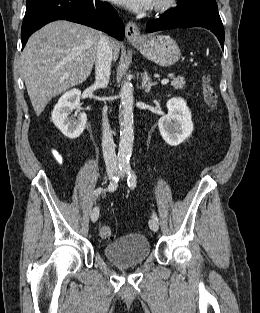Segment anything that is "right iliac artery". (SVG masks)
<instances>
[{"label":"right iliac artery","instance_id":"1","mask_svg":"<svg viewBox=\"0 0 260 313\" xmlns=\"http://www.w3.org/2000/svg\"><path fill=\"white\" fill-rule=\"evenodd\" d=\"M120 171H122V166H119L118 172L116 173L115 176L112 177V180L110 181V184L108 185V188H107L108 191H114L118 187ZM102 191H103V188H97L94 192L95 196L98 197V195H100Z\"/></svg>","mask_w":260,"mask_h":313}]
</instances>
